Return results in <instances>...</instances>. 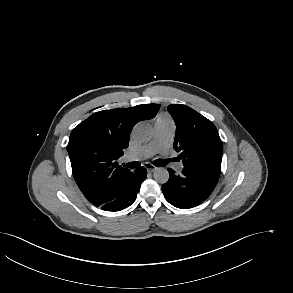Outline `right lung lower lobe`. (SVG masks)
<instances>
[{
  "mask_svg": "<svg viewBox=\"0 0 293 293\" xmlns=\"http://www.w3.org/2000/svg\"><path fill=\"white\" fill-rule=\"evenodd\" d=\"M146 176L147 171L144 167L136 169L132 173L131 178L122 184L118 196L114 200L105 203L100 207L106 211H120L130 206L136 200L140 186Z\"/></svg>",
  "mask_w": 293,
  "mask_h": 293,
  "instance_id": "98d812e1",
  "label": "right lung lower lobe"
}]
</instances>
